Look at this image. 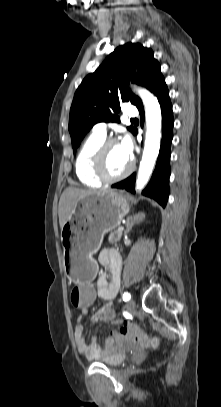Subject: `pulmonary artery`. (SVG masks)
Wrapping results in <instances>:
<instances>
[{"instance_id": "obj_1", "label": "pulmonary artery", "mask_w": 221, "mask_h": 407, "mask_svg": "<svg viewBox=\"0 0 221 407\" xmlns=\"http://www.w3.org/2000/svg\"><path fill=\"white\" fill-rule=\"evenodd\" d=\"M126 113L129 117H136L138 115V110L136 109V107L134 106H128L126 109ZM93 132L106 136L107 133V125L106 123H97L94 127H93Z\"/></svg>"}]
</instances>
